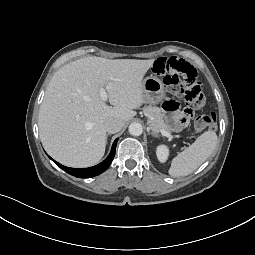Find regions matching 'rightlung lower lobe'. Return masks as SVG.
I'll list each match as a JSON object with an SVG mask.
<instances>
[{"label": "right lung lower lobe", "instance_id": "1", "mask_svg": "<svg viewBox=\"0 0 255 255\" xmlns=\"http://www.w3.org/2000/svg\"><path fill=\"white\" fill-rule=\"evenodd\" d=\"M118 139H116L112 145V149L110 152V155L100 164L93 166V167H89V168H70V167H66L63 166L61 164H59L58 162H56L55 160H52L55 162V164L60 167L61 169H63L64 171H66L67 173H69L70 175H73L75 177L78 178H90V177H94L96 175H99L101 173H103L111 164L114 156H115V149H116V144H117Z\"/></svg>", "mask_w": 255, "mask_h": 255}]
</instances>
